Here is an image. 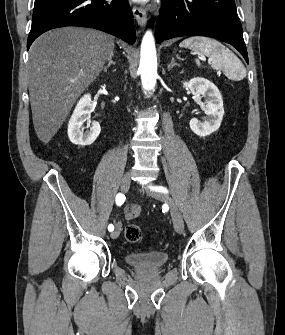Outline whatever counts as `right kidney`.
I'll return each mask as SVG.
<instances>
[{
	"label": "right kidney",
	"mask_w": 285,
	"mask_h": 335,
	"mask_svg": "<svg viewBox=\"0 0 285 335\" xmlns=\"http://www.w3.org/2000/svg\"><path fill=\"white\" fill-rule=\"evenodd\" d=\"M91 96L85 94L80 98L68 124V138L72 144L84 148V146H90L98 138L101 128L98 122H91ZM84 122L91 124L90 132H85Z\"/></svg>",
	"instance_id": "1"
}]
</instances>
